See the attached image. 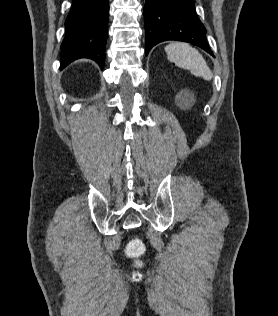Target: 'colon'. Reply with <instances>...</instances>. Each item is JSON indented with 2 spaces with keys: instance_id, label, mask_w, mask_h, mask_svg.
Segmentation results:
<instances>
[{
  "instance_id": "colon-1",
  "label": "colon",
  "mask_w": 278,
  "mask_h": 316,
  "mask_svg": "<svg viewBox=\"0 0 278 316\" xmlns=\"http://www.w3.org/2000/svg\"><path fill=\"white\" fill-rule=\"evenodd\" d=\"M144 251L143 244L138 239L131 241L127 248V253L131 257H138Z\"/></svg>"
}]
</instances>
